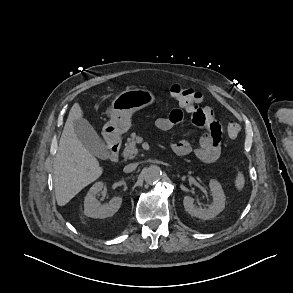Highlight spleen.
Segmentation results:
<instances>
[{
    "label": "spleen",
    "instance_id": "1",
    "mask_svg": "<svg viewBox=\"0 0 293 293\" xmlns=\"http://www.w3.org/2000/svg\"><path fill=\"white\" fill-rule=\"evenodd\" d=\"M245 185V177L242 172H239L235 179V187L237 190L241 191Z\"/></svg>",
    "mask_w": 293,
    "mask_h": 293
}]
</instances>
